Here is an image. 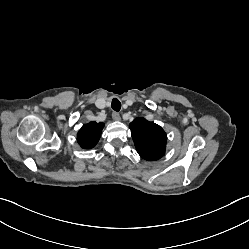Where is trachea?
I'll use <instances>...</instances> for the list:
<instances>
[{
	"label": "trachea",
	"instance_id": "3493384b",
	"mask_svg": "<svg viewBox=\"0 0 249 249\" xmlns=\"http://www.w3.org/2000/svg\"><path fill=\"white\" fill-rule=\"evenodd\" d=\"M111 107H112L113 110H115L117 112L120 111V109H121V103H120V101L117 98H114L112 100Z\"/></svg>",
	"mask_w": 249,
	"mask_h": 249
}]
</instances>
